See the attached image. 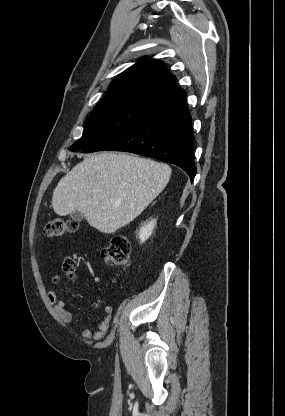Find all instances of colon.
<instances>
[{
  "instance_id": "obj_1",
  "label": "colon",
  "mask_w": 285,
  "mask_h": 416,
  "mask_svg": "<svg viewBox=\"0 0 285 416\" xmlns=\"http://www.w3.org/2000/svg\"><path fill=\"white\" fill-rule=\"evenodd\" d=\"M79 228L78 222L70 219L55 218L50 220L44 230L43 235L56 238L76 232ZM130 242L124 235H116L111 239L110 244L101 250V259L109 266L127 267L130 264ZM76 262L72 257H66L62 264L64 273L73 277L76 272Z\"/></svg>"
}]
</instances>
